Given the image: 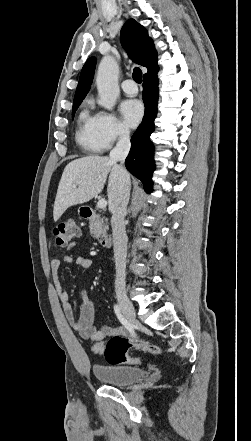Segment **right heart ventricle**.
Listing matches in <instances>:
<instances>
[{
    "label": "right heart ventricle",
    "mask_w": 251,
    "mask_h": 441,
    "mask_svg": "<svg viewBox=\"0 0 251 441\" xmlns=\"http://www.w3.org/2000/svg\"><path fill=\"white\" fill-rule=\"evenodd\" d=\"M75 139L78 145L89 153H99L105 149L97 135L96 115L90 114L87 108L78 116Z\"/></svg>",
    "instance_id": "e07e8e85"
}]
</instances>
